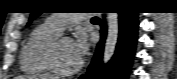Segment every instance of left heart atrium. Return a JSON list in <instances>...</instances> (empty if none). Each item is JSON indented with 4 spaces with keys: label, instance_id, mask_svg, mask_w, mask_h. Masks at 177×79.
Returning <instances> with one entry per match:
<instances>
[{
    "label": "left heart atrium",
    "instance_id": "obj_1",
    "mask_svg": "<svg viewBox=\"0 0 177 79\" xmlns=\"http://www.w3.org/2000/svg\"><path fill=\"white\" fill-rule=\"evenodd\" d=\"M73 49L76 56L81 60L89 51L90 41L87 35L83 32L72 41Z\"/></svg>",
    "mask_w": 177,
    "mask_h": 79
}]
</instances>
